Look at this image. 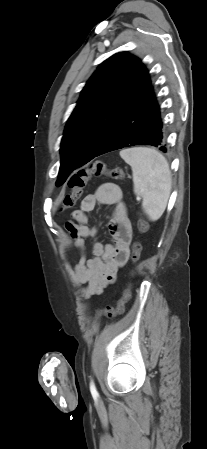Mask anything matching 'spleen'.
<instances>
[{
  "mask_svg": "<svg viewBox=\"0 0 207 449\" xmlns=\"http://www.w3.org/2000/svg\"><path fill=\"white\" fill-rule=\"evenodd\" d=\"M121 158L131 166L134 193L143 198L142 207L148 218L158 220L171 192L172 176L167 159L157 150L133 147L120 151Z\"/></svg>",
  "mask_w": 207,
  "mask_h": 449,
  "instance_id": "obj_1",
  "label": "spleen"
}]
</instances>
